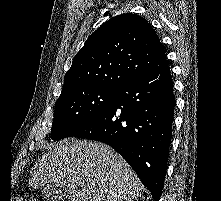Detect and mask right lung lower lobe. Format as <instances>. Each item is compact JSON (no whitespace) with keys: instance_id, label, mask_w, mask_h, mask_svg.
Segmentation results:
<instances>
[{"instance_id":"obj_1","label":"right lung lower lobe","mask_w":221,"mask_h":201,"mask_svg":"<svg viewBox=\"0 0 221 201\" xmlns=\"http://www.w3.org/2000/svg\"><path fill=\"white\" fill-rule=\"evenodd\" d=\"M175 107L168 62L116 90L101 112L68 137L101 141L114 148L159 201L166 175Z\"/></svg>"}]
</instances>
